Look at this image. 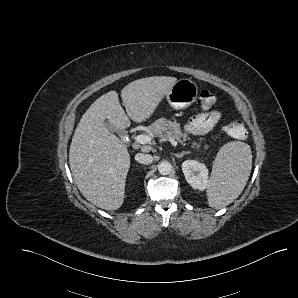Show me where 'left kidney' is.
Here are the masks:
<instances>
[{
    "label": "left kidney",
    "instance_id": "5707ae66",
    "mask_svg": "<svg viewBox=\"0 0 298 298\" xmlns=\"http://www.w3.org/2000/svg\"><path fill=\"white\" fill-rule=\"evenodd\" d=\"M185 180L195 190L205 191L209 181V168L198 159H187L182 162Z\"/></svg>",
    "mask_w": 298,
    "mask_h": 298
}]
</instances>
